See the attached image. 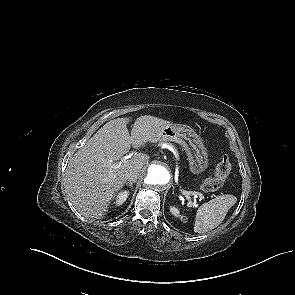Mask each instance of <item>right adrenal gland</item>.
Masks as SVG:
<instances>
[{
  "instance_id": "obj_1",
  "label": "right adrenal gland",
  "mask_w": 295,
  "mask_h": 295,
  "mask_svg": "<svg viewBox=\"0 0 295 295\" xmlns=\"http://www.w3.org/2000/svg\"><path fill=\"white\" fill-rule=\"evenodd\" d=\"M134 183H135V181H133V182H126V185L129 186L132 189Z\"/></svg>"
}]
</instances>
